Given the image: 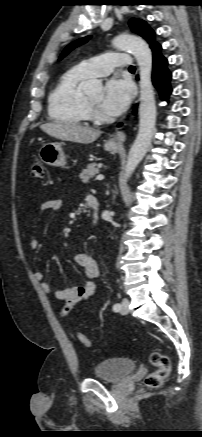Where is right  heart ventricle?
<instances>
[{
  "mask_svg": "<svg viewBox=\"0 0 202 437\" xmlns=\"http://www.w3.org/2000/svg\"><path fill=\"white\" fill-rule=\"evenodd\" d=\"M86 78L78 67L60 77L48 97V114L51 119L71 124H84L89 120L90 111L80 89V83Z\"/></svg>",
  "mask_w": 202,
  "mask_h": 437,
  "instance_id": "right-heart-ventricle-1",
  "label": "right heart ventricle"
}]
</instances>
